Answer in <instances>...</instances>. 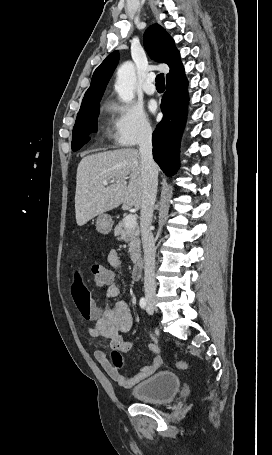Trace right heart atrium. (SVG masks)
I'll return each instance as SVG.
<instances>
[{"label":"right heart atrium","mask_w":272,"mask_h":455,"mask_svg":"<svg viewBox=\"0 0 272 455\" xmlns=\"http://www.w3.org/2000/svg\"><path fill=\"white\" fill-rule=\"evenodd\" d=\"M113 140L118 146L132 147L147 141L152 127L146 114L136 105L111 102Z\"/></svg>","instance_id":"obj_1"}]
</instances>
